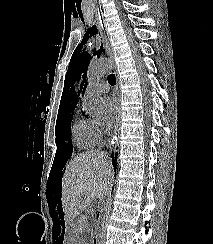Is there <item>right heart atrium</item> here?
I'll return each instance as SVG.
<instances>
[{"instance_id":"right-heart-atrium-1","label":"right heart atrium","mask_w":213,"mask_h":244,"mask_svg":"<svg viewBox=\"0 0 213 244\" xmlns=\"http://www.w3.org/2000/svg\"><path fill=\"white\" fill-rule=\"evenodd\" d=\"M93 136L97 143L101 142L106 134V128L100 119L89 120Z\"/></svg>"}]
</instances>
